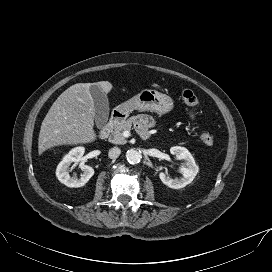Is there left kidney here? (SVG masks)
<instances>
[{"label": "left kidney", "mask_w": 272, "mask_h": 272, "mask_svg": "<svg viewBox=\"0 0 272 272\" xmlns=\"http://www.w3.org/2000/svg\"><path fill=\"white\" fill-rule=\"evenodd\" d=\"M170 152L175 155L178 160H184L181 166L182 178H169L163 172L159 173V178L163 184L173 189H180L190 184L197 173L199 168L195 163V160L191 153L184 147L174 146L171 147Z\"/></svg>", "instance_id": "5707ae66"}]
</instances>
